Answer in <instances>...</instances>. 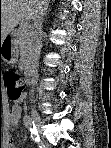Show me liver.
<instances>
[{
	"instance_id": "1",
	"label": "liver",
	"mask_w": 111,
	"mask_h": 148,
	"mask_svg": "<svg viewBox=\"0 0 111 148\" xmlns=\"http://www.w3.org/2000/svg\"><path fill=\"white\" fill-rule=\"evenodd\" d=\"M41 1L42 0H1V40L4 41L20 21L32 19V15L38 5L37 3Z\"/></svg>"
}]
</instances>
